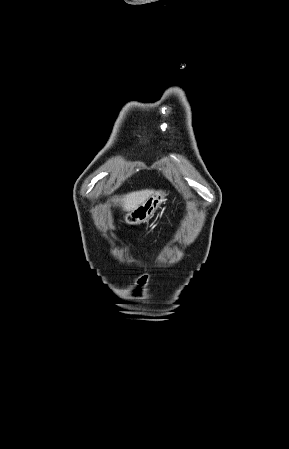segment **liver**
Wrapping results in <instances>:
<instances>
[{
	"mask_svg": "<svg viewBox=\"0 0 289 449\" xmlns=\"http://www.w3.org/2000/svg\"><path fill=\"white\" fill-rule=\"evenodd\" d=\"M152 194L153 190L136 191L117 198L115 202L119 203L124 211H131L147 200Z\"/></svg>",
	"mask_w": 289,
	"mask_h": 449,
	"instance_id": "1",
	"label": "liver"
}]
</instances>
